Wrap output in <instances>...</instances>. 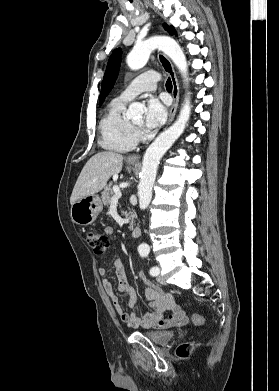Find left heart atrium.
Instances as JSON below:
<instances>
[{
	"label": "left heart atrium",
	"instance_id": "obj_1",
	"mask_svg": "<svg viewBox=\"0 0 279 391\" xmlns=\"http://www.w3.org/2000/svg\"><path fill=\"white\" fill-rule=\"evenodd\" d=\"M167 109L156 97L148 99L146 104L144 124L147 130L159 127L166 119Z\"/></svg>",
	"mask_w": 279,
	"mask_h": 391
}]
</instances>
